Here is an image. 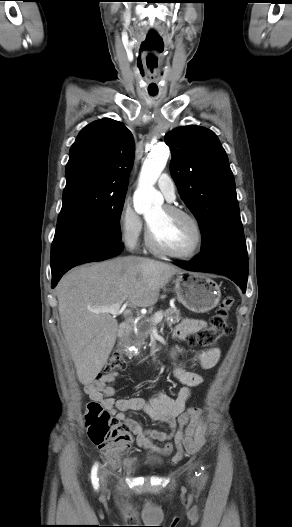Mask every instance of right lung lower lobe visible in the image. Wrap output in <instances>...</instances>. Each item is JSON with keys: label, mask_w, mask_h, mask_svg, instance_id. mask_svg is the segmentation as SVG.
I'll return each instance as SVG.
<instances>
[{"label": "right lung lower lobe", "mask_w": 292, "mask_h": 527, "mask_svg": "<svg viewBox=\"0 0 292 527\" xmlns=\"http://www.w3.org/2000/svg\"><path fill=\"white\" fill-rule=\"evenodd\" d=\"M124 249L121 240L103 232L78 228H56L51 247L52 288L71 268L117 256Z\"/></svg>", "instance_id": "right-lung-lower-lobe-1"}]
</instances>
